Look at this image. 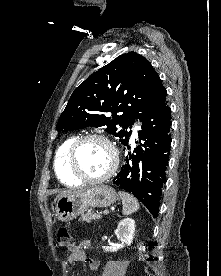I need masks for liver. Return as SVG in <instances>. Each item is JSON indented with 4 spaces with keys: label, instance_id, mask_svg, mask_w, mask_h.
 <instances>
[{
    "label": "liver",
    "instance_id": "1",
    "mask_svg": "<svg viewBox=\"0 0 221 276\" xmlns=\"http://www.w3.org/2000/svg\"><path fill=\"white\" fill-rule=\"evenodd\" d=\"M80 191H83V190H80ZM80 191H76V192H80ZM76 192H73V191H63L59 195H57V197L55 198L54 202H56L60 197H63V196H66V195H69V194H72V193H76Z\"/></svg>",
    "mask_w": 221,
    "mask_h": 276
}]
</instances>
